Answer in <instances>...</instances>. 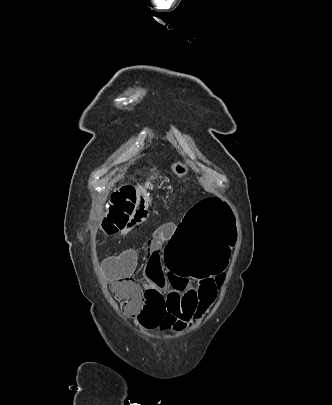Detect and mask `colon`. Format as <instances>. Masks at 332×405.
Here are the masks:
<instances>
[{"mask_svg":"<svg viewBox=\"0 0 332 405\" xmlns=\"http://www.w3.org/2000/svg\"><path fill=\"white\" fill-rule=\"evenodd\" d=\"M138 190L123 185L111 194L102 222L106 234L113 235L137 222L138 217L131 216V209L137 208ZM188 210L184 212L185 220L175 221L172 240L164 252L165 268H169L170 275H190L192 281H205L206 275H216L214 284L218 288L222 273L230 268L228 257H234L238 242L235 212L230 211V202H223L221 197H200ZM111 288L126 311H142V292L135 281L116 280Z\"/></svg>","mask_w":332,"mask_h":405,"instance_id":"1","label":"colon"}]
</instances>
